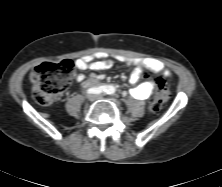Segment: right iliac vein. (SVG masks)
<instances>
[{"mask_svg":"<svg viewBox=\"0 0 222 187\" xmlns=\"http://www.w3.org/2000/svg\"><path fill=\"white\" fill-rule=\"evenodd\" d=\"M88 99H89V100H93V99H94V95H92V94L89 95V96H88Z\"/></svg>","mask_w":222,"mask_h":187,"instance_id":"right-iliac-vein-1","label":"right iliac vein"}]
</instances>
